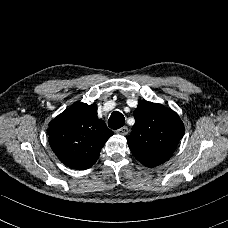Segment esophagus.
<instances>
[{"instance_id": "1", "label": "esophagus", "mask_w": 228, "mask_h": 228, "mask_svg": "<svg viewBox=\"0 0 228 228\" xmlns=\"http://www.w3.org/2000/svg\"><path fill=\"white\" fill-rule=\"evenodd\" d=\"M116 133L120 135H127L129 133V129L127 126H123L122 128L118 129Z\"/></svg>"}]
</instances>
